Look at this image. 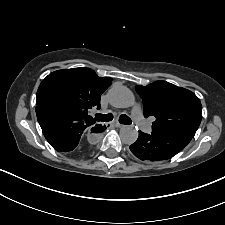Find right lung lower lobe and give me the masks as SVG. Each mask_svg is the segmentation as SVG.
I'll return each mask as SVG.
<instances>
[{
	"instance_id": "obj_1",
	"label": "right lung lower lobe",
	"mask_w": 225,
	"mask_h": 225,
	"mask_svg": "<svg viewBox=\"0 0 225 225\" xmlns=\"http://www.w3.org/2000/svg\"><path fill=\"white\" fill-rule=\"evenodd\" d=\"M36 114L43 134L50 145L58 152L81 156L87 149L81 142V136L89 130L102 132L105 126L94 125L87 118L64 111L37 106Z\"/></svg>"
}]
</instances>
